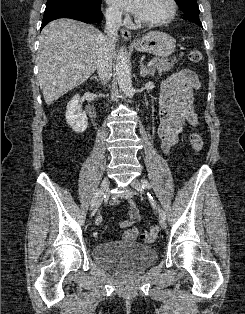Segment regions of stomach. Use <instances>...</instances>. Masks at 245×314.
Here are the masks:
<instances>
[{
    "instance_id": "1",
    "label": "stomach",
    "mask_w": 245,
    "mask_h": 314,
    "mask_svg": "<svg viewBox=\"0 0 245 314\" xmlns=\"http://www.w3.org/2000/svg\"><path fill=\"white\" fill-rule=\"evenodd\" d=\"M176 40L170 35L151 31L134 43V48L140 52L151 53L157 57H167L175 51Z\"/></svg>"
}]
</instances>
